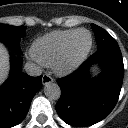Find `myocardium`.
<instances>
[{"label": "myocardium", "instance_id": "1", "mask_svg": "<svg viewBox=\"0 0 128 128\" xmlns=\"http://www.w3.org/2000/svg\"><path fill=\"white\" fill-rule=\"evenodd\" d=\"M82 32L88 34L89 44H88L87 48L85 49V51L80 56L73 57L71 55L72 45L74 43L76 36ZM92 47H93V37H92L91 32L86 30V29H78L73 34V36L70 38V40L68 41V43H67L65 49L63 50L61 56L59 57V59L54 64L55 73L59 76H68V75L74 73L85 62V60L87 59V57L89 56V54L92 50Z\"/></svg>", "mask_w": 128, "mask_h": 128}]
</instances>
